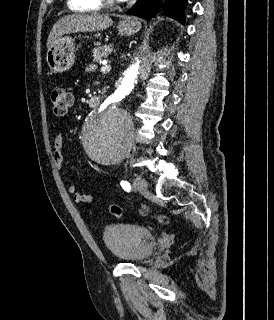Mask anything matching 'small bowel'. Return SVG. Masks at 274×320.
<instances>
[{
  "label": "small bowel",
  "instance_id": "small-bowel-1",
  "mask_svg": "<svg viewBox=\"0 0 274 320\" xmlns=\"http://www.w3.org/2000/svg\"><path fill=\"white\" fill-rule=\"evenodd\" d=\"M64 134L62 131H58L55 135L54 146H53V160L54 164L58 169L64 167ZM84 172L88 174V170L84 168ZM69 194L73 195L75 202L77 203H90L93 201L94 196L92 194L82 193L77 190V183L70 181L67 186Z\"/></svg>",
  "mask_w": 274,
  "mask_h": 320
}]
</instances>
